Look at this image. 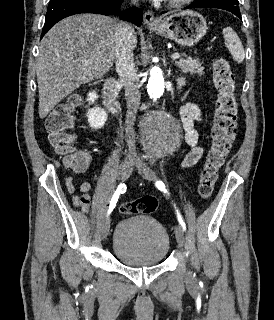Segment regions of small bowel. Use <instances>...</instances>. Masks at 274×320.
I'll return each mask as SVG.
<instances>
[{
	"label": "small bowel",
	"instance_id": "c3829d8e",
	"mask_svg": "<svg viewBox=\"0 0 274 320\" xmlns=\"http://www.w3.org/2000/svg\"><path fill=\"white\" fill-rule=\"evenodd\" d=\"M183 84V80L179 81V85ZM180 118L184 131V140L191 150L185 156L182 167L190 168L194 166L204 155V149L198 145L199 133L196 125L201 121V111L195 104H186L183 106L180 112ZM79 161H86V168H73L77 173L85 172L92 164V157L85 153H80ZM80 195L73 197V203L76 207L80 208L84 212H88L91 205L90 191L92 184L89 181H84L80 185Z\"/></svg>",
	"mask_w": 274,
	"mask_h": 320
}]
</instances>
